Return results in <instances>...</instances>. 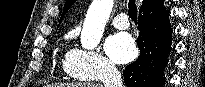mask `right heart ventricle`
<instances>
[{"label": "right heart ventricle", "mask_w": 205, "mask_h": 87, "mask_svg": "<svg viewBox=\"0 0 205 87\" xmlns=\"http://www.w3.org/2000/svg\"><path fill=\"white\" fill-rule=\"evenodd\" d=\"M70 54H71V51L66 52L65 55L61 59V65H62L64 72L71 79L79 80V81L85 80L84 78L77 76L71 69V66L69 63Z\"/></svg>", "instance_id": "obj_1"}]
</instances>
